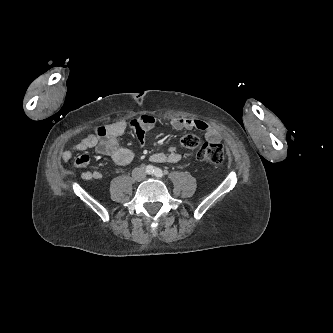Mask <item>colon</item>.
<instances>
[{"instance_id":"colon-1","label":"colon","mask_w":333,"mask_h":333,"mask_svg":"<svg viewBox=\"0 0 333 333\" xmlns=\"http://www.w3.org/2000/svg\"><path fill=\"white\" fill-rule=\"evenodd\" d=\"M97 132L103 133V129L98 128ZM181 143L187 149H198L196 157L200 161L219 165L225 160V150L222 145L216 143L201 144L200 138L195 134H187L183 136Z\"/></svg>"}]
</instances>
